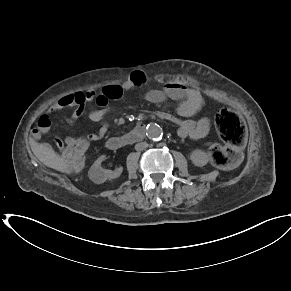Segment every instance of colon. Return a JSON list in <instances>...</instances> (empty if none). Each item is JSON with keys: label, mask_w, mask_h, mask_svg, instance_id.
Instances as JSON below:
<instances>
[{"label": "colon", "mask_w": 291, "mask_h": 291, "mask_svg": "<svg viewBox=\"0 0 291 291\" xmlns=\"http://www.w3.org/2000/svg\"><path fill=\"white\" fill-rule=\"evenodd\" d=\"M61 106H70L74 103L72 95L61 99ZM216 128L226 146L213 144L210 147L212 162L222 168L233 166L240 157V148L246 139V127L240 116L230 109H221L215 118ZM87 151V142L82 136L73 138L67 145L63 157L68 165L78 170L84 162Z\"/></svg>", "instance_id": "colon-1"}]
</instances>
